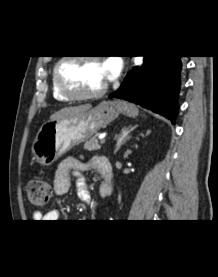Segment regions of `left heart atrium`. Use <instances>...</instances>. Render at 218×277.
Masks as SVG:
<instances>
[{
    "instance_id": "39dd6f15",
    "label": "left heart atrium",
    "mask_w": 218,
    "mask_h": 277,
    "mask_svg": "<svg viewBox=\"0 0 218 277\" xmlns=\"http://www.w3.org/2000/svg\"><path fill=\"white\" fill-rule=\"evenodd\" d=\"M107 79H114L120 72L121 63L116 59H110L103 63Z\"/></svg>"
}]
</instances>
